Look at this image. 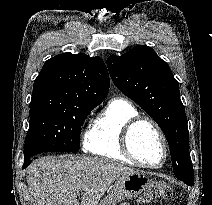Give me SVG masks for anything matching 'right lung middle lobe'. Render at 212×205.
<instances>
[{"instance_id": "right-lung-middle-lobe-1", "label": "right lung middle lobe", "mask_w": 212, "mask_h": 205, "mask_svg": "<svg viewBox=\"0 0 212 205\" xmlns=\"http://www.w3.org/2000/svg\"><path fill=\"white\" fill-rule=\"evenodd\" d=\"M96 106L30 107L24 159L44 152H77L80 148L81 126Z\"/></svg>"}]
</instances>
